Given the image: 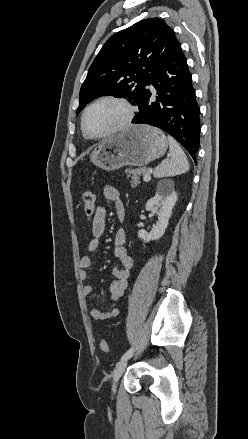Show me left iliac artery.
Instances as JSON below:
<instances>
[{
	"label": "left iliac artery",
	"instance_id": "44dca946",
	"mask_svg": "<svg viewBox=\"0 0 248 439\" xmlns=\"http://www.w3.org/2000/svg\"><path fill=\"white\" fill-rule=\"evenodd\" d=\"M134 353V348H130L128 351H126L123 356L121 357V360L129 359Z\"/></svg>",
	"mask_w": 248,
	"mask_h": 439
}]
</instances>
